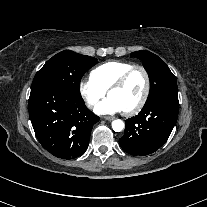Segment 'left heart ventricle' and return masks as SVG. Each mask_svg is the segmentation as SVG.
Returning <instances> with one entry per match:
<instances>
[{"label": "left heart ventricle", "instance_id": "left-heart-ventricle-1", "mask_svg": "<svg viewBox=\"0 0 207 207\" xmlns=\"http://www.w3.org/2000/svg\"><path fill=\"white\" fill-rule=\"evenodd\" d=\"M145 88L144 76L137 71L131 75L124 86L109 92V96L114 97L124 111L134 106L142 97Z\"/></svg>", "mask_w": 207, "mask_h": 207}]
</instances>
